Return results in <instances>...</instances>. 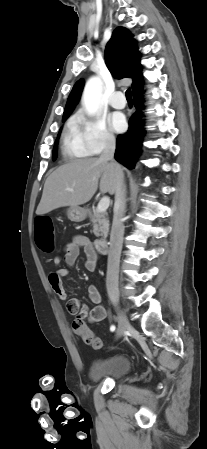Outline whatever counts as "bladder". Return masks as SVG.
<instances>
[{"label":"bladder","instance_id":"obj_1","mask_svg":"<svg viewBox=\"0 0 207 449\" xmlns=\"http://www.w3.org/2000/svg\"><path fill=\"white\" fill-rule=\"evenodd\" d=\"M131 369V362L126 356H115L92 364L89 378L92 381L102 379H120Z\"/></svg>","mask_w":207,"mask_h":449}]
</instances>
